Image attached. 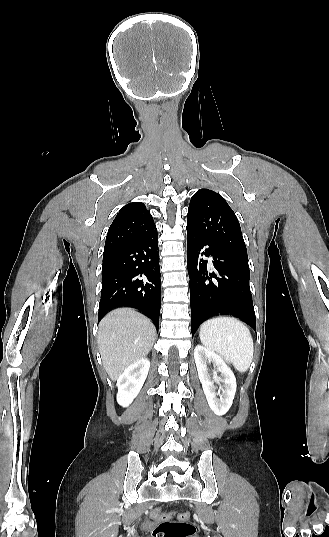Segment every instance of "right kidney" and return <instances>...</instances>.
Here are the masks:
<instances>
[{"label": "right kidney", "instance_id": "right-kidney-1", "mask_svg": "<svg viewBox=\"0 0 329 537\" xmlns=\"http://www.w3.org/2000/svg\"><path fill=\"white\" fill-rule=\"evenodd\" d=\"M150 362L141 358L129 365L117 380V402L122 407H128L139 394L148 375Z\"/></svg>", "mask_w": 329, "mask_h": 537}]
</instances>
